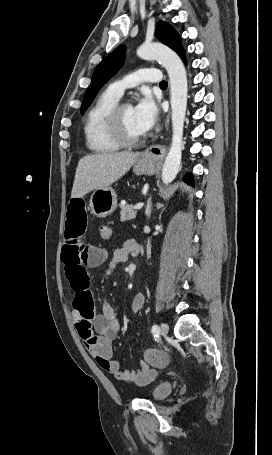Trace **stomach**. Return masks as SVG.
Returning a JSON list of instances; mask_svg holds the SVG:
<instances>
[{
	"label": "stomach",
	"instance_id": "stomach-1",
	"mask_svg": "<svg viewBox=\"0 0 272 455\" xmlns=\"http://www.w3.org/2000/svg\"><path fill=\"white\" fill-rule=\"evenodd\" d=\"M157 166L154 158L141 154L133 164V172L137 175H153ZM89 207L98 218L112 214L117 207V195L114 189L108 186L95 190L90 198Z\"/></svg>",
	"mask_w": 272,
	"mask_h": 455
}]
</instances>
